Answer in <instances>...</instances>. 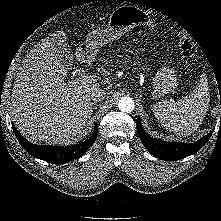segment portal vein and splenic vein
<instances>
[{"label": "portal vein and splenic vein", "instance_id": "1", "mask_svg": "<svg viewBox=\"0 0 221 221\" xmlns=\"http://www.w3.org/2000/svg\"><path fill=\"white\" fill-rule=\"evenodd\" d=\"M97 81V76L90 75L85 72H80L79 77L74 81L75 83L92 84Z\"/></svg>", "mask_w": 221, "mask_h": 221}]
</instances>
